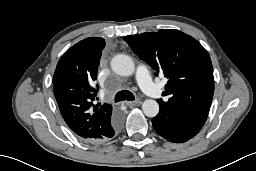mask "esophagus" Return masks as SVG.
I'll return each mask as SVG.
<instances>
[{
	"instance_id": "obj_1",
	"label": "esophagus",
	"mask_w": 256,
	"mask_h": 171,
	"mask_svg": "<svg viewBox=\"0 0 256 171\" xmlns=\"http://www.w3.org/2000/svg\"><path fill=\"white\" fill-rule=\"evenodd\" d=\"M140 103V100L139 99H136L134 101H126L125 104L128 106V107H133V106H136Z\"/></svg>"
}]
</instances>
